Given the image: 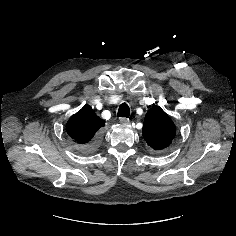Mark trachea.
Segmentation results:
<instances>
[{
	"label": "trachea",
	"instance_id": "3493384b",
	"mask_svg": "<svg viewBox=\"0 0 236 236\" xmlns=\"http://www.w3.org/2000/svg\"><path fill=\"white\" fill-rule=\"evenodd\" d=\"M117 115L119 117H126L128 118L130 115V108L126 103H122L118 109Z\"/></svg>",
	"mask_w": 236,
	"mask_h": 236
}]
</instances>
